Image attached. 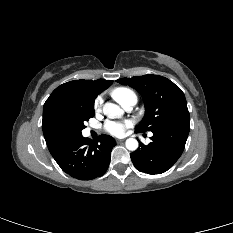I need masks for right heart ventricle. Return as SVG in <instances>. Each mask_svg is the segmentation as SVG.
Instances as JSON below:
<instances>
[{
  "label": "right heart ventricle",
  "mask_w": 233,
  "mask_h": 233,
  "mask_svg": "<svg viewBox=\"0 0 233 233\" xmlns=\"http://www.w3.org/2000/svg\"><path fill=\"white\" fill-rule=\"evenodd\" d=\"M112 97L119 102L121 105L129 101H136L137 102V95L136 93L127 87H117L111 91Z\"/></svg>",
  "instance_id": "right-heart-ventricle-1"
}]
</instances>
